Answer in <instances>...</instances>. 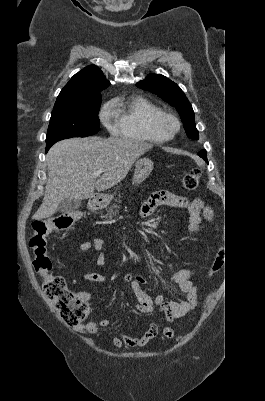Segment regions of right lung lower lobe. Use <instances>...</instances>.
Segmentation results:
<instances>
[{
	"instance_id": "obj_1",
	"label": "right lung lower lobe",
	"mask_w": 265,
	"mask_h": 401,
	"mask_svg": "<svg viewBox=\"0 0 265 401\" xmlns=\"http://www.w3.org/2000/svg\"><path fill=\"white\" fill-rule=\"evenodd\" d=\"M50 147H51V146H46V152L49 150Z\"/></svg>"
}]
</instances>
